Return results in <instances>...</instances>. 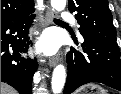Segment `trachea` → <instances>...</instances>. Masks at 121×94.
<instances>
[{"mask_svg": "<svg viewBox=\"0 0 121 94\" xmlns=\"http://www.w3.org/2000/svg\"><path fill=\"white\" fill-rule=\"evenodd\" d=\"M56 22H63L62 20L60 19H55Z\"/></svg>", "mask_w": 121, "mask_h": 94, "instance_id": "1", "label": "trachea"}]
</instances>
